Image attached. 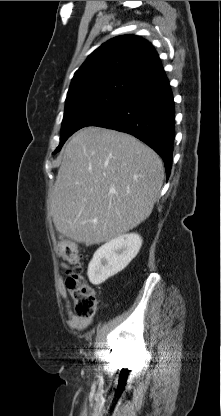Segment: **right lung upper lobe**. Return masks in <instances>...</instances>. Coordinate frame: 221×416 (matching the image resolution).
<instances>
[{
    "mask_svg": "<svg viewBox=\"0 0 221 416\" xmlns=\"http://www.w3.org/2000/svg\"><path fill=\"white\" fill-rule=\"evenodd\" d=\"M158 54L135 35L115 37L97 48L76 71L66 101L99 90L131 93L164 81Z\"/></svg>",
    "mask_w": 221,
    "mask_h": 416,
    "instance_id": "cb5924a9",
    "label": "right lung upper lobe"
}]
</instances>
